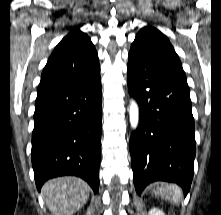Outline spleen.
<instances>
[{
  "label": "spleen",
  "instance_id": "3e777b00",
  "mask_svg": "<svg viewBox=\"0 0 221 215\" xmlns=\"http://www.w3.org/2000/svg\"><path fill=\"white\" fill-rule=\"evenodd\" d=\"M158 194L166 200H169L171 197V200L176 203L181 195V192L175 185H165L164 187L159 188Z\"/></svg>",
  "mask_w": 221,
  "mask_h": 215
}]
</instances>
